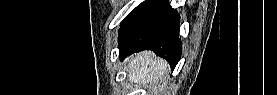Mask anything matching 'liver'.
<instances>
[{
    "label": "liver",
    "mask_w": 277,
    "mask_h": 95,
    "mask_svg": "<svg viewBox=\"0 0 277 95\" xmlns=\"http://www.w3.org/2000/svg\"><path fill=\"white\" fill-rule=\"evenodd\" d=\"M168 63L152 51L140 52L128 60V79L136 84L156 86L165 79Z\"/></svg>",
    "instance_id": "obj_1"
}]
</instances>
